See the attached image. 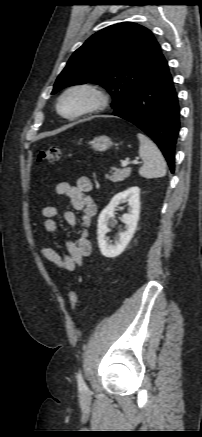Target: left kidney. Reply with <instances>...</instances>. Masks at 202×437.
<instances>
[{
	"label": "left kidney",
	"instance_id": "1",
	"mask_svg": "<svg viewBox=\"0 0 202 437\" xmlns=\"http://www.w3.org/2000/svg\"><path fill=\"white\" fill-rule=\"evenodd\" d=\"M127 202L129 213L123 215L122 220L125 224V231L119 233L114 244L109 243L106 234L110 231L109 226L114 218L115 208L120 203ZM140 214V189L137 186L131 187L123 192L116 194L108 206L101 212L98 218L97 239L100 251L103 256L114 258L119 256L127 247L132 239L139 220Z\"/></svg>",
	"mask_w": 202,
	"mask_h": 437
}]
</instances>
